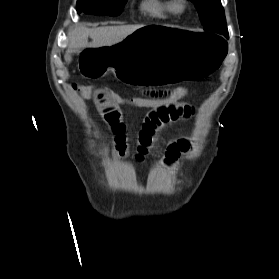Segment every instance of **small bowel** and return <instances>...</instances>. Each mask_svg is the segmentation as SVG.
<instances>
[{
    "instance_id": "obj_1",
    "label": "small bowel",
    "mask_w": 279,
    "mask_h": 279,
    "mask_svg": "<svg viewBox=\"0 0 279 279\" xmlns=\"http://www.w3.org/2000/svg\"><path fill=\"white\" fill-rule=\"evenodd\" d=\"M162 91L149 90L144 94L158 95ZM104 121L109 125L114 134V155L124 158L128 154V143L126 138V127L120 106L111 102L105 96L96 94L92 98ZM195 113L194 107L186 102L163 104L152 107L146 114L138 135V144L135 159L139 162L145 160L153 146L155 134L166 124L179 120L190 119ZM191 146L186 139H178L170 143L165 151L163 163L172 169L179 157L188 152Z\"/></svg>"
}]
</instances>
